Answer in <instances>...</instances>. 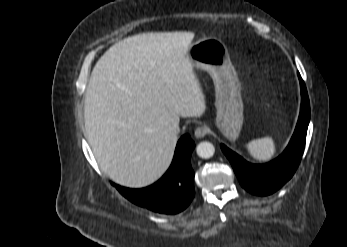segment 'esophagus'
I'll list each match as a JSON object with an SVG mask.
<instances>
[{
	"mask_svg": "<svg viewBox=\"0 0 347 247\" xmlns=\"http://www.w3.org/2000/svg\"><path fill=\"white\" fill-rule=\"evenodd\" d=\"M209 128L206 126H200L195 129L194 135L196 138H203L209 133Z\"/></svg>",
	"mask_w": 347,
	"mask_h": 247,
	"instance_id": "obj_1",
	"label": "esophagus"
}]
</instances>
